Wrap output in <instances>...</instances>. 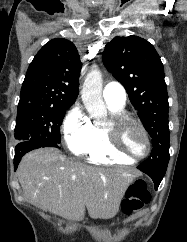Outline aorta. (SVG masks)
<instances>
[{
  "label": "aorta",
  "mask_w": 187,
  "mask_h": 242,
  "mask_svg": "<svg viewBox=\"0 0 187 242\" xmlns=\"http://www.w3.org/2000/svg\"><path fill=\"white\" fill-rule=\"evenodd\" d=\"M82 101L90 117L99 122L107 116V109L102 99V74L91 70L83 83Z\"/></svg>",
  "instance_id": "obj_1"
}]
</instances>
